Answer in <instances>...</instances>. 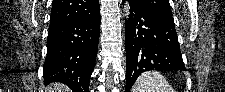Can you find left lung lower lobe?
<instances>
[{"label":"left lung lower lobe","instance_id":"1","mask_svg":"<svg viewBox=\"0 0 225 92\" xmlns=\"http://www.w3.org/2000/svg\"><path fill=\"white\" fill-rule=\"evenodd\" d=\"M125 2V0H122ZM130 18L125 25L126 90L149 70L184 71L174 20L129 2Z\"/></svg>","mask_w":225,"mask_h":92}]
</instances>
